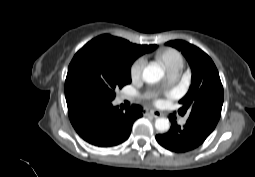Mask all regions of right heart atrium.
<instances>
[{
	"mask_svg": "<svg viewBox=\"0 0 255 177\" xmlns=\"http://www.w3.org/2000/svg\"><path fill=\"white\" fill-rule=\"evenodd\" d=\"M145 66L144 58H137L130 67V75L133 80H138L143 72Z\"/></svg>",
	"mask_w": 255,
	"mask_h": 177,
	"instance_id": "right-heart-atrium-1",
	"label": "right heart atrium"
}]
</instances>
